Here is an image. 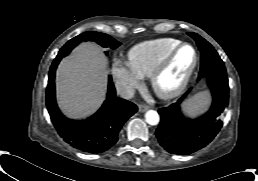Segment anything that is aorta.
<instances>
[{"label": "aorta", "instance_id": "762f6f07", "mask_svg": "<svg viewBox=\"0 0 258 181\" xmlns=\"http://www.w3.org/2000/svg\"><path fill=\"white\" fill-rule=\"evenodd\" d=\"M145 120L149 125H157L160 121V117L156 111L148 110L145 113Z\"/></svg>", "mask_w": 258, "mask_h": 181}]
</instances>
